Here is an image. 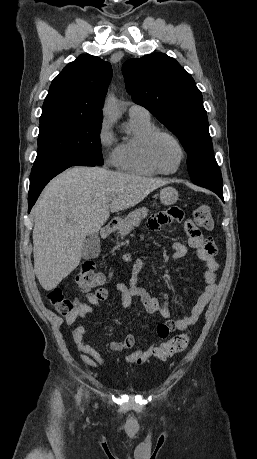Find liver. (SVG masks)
<instances>
[{"instance_id":"6515ba94","label":"liver","mask_w":257,"mask_h":459,"mask_svg":"<svg viewBox=\"0 0 257 459\" xmlns=\"http://www.w3.org/2000/svg\"><path fill=\"white\" fill-rule=\"evenodd\" d=\"M168 183L99 167H74L53 179L33 208L34 271L41 286L54 289L79 265L86 237L99 232L110 212L133 207Z\"/></svg>"}]
</instances>
